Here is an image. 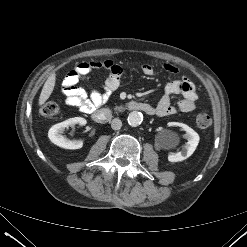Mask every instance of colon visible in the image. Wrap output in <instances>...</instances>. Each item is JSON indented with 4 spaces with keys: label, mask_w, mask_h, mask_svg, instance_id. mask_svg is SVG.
I'll return each instance as SVG.
<instances>
[{
    "label": "colon",
    "mask_w": 247,
    "mask_h": 247,
    "mask_svg": "<svg viewBox=\"0 0 247 247\" xmlns=\"http://www.w3.org/2000/svg\"><path fill=\"white\" fill-rule=\"evenodd\" d=\"M59 112V106L53 101L45 103L41 108V113L45 117H52ZM195 122L200 130H207L211 124V117L206 112H199L196 115Z\"/></svg>",
    "instance_id": "5ec220e1"
}]
</instances>
